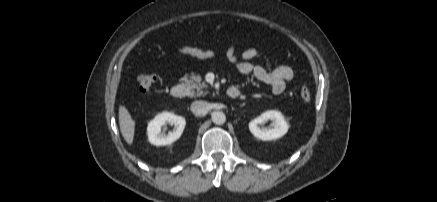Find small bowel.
<instances>
[{
    "instance_id": "1",
    "label": "small bowel",
    "mask_w": 437,
    "mask_h": 202,
    "mask_svg": "<svg viewBox=\"0 0 437 202\" xmlns=\"http://www.w3.org/2000/svg\"><path fill=\"white\" fill-rule=\"evenodd\" d=\"M178 53L199 60H208L217 56L214 50L202 49L195 46L181 47L178 49ZM258 55L259 50L256 48H248L244 50L240 56L236 54V49L233 45L229 46L226 50L227 59L237 65V69L241 74L251 76L259 82L270 85L275 95L283 94L287 82L292 80L294 76L292 68L287 65H281L269 70L262 66L255 65L252 60Z\"/></svg>"
}]
</instances>
